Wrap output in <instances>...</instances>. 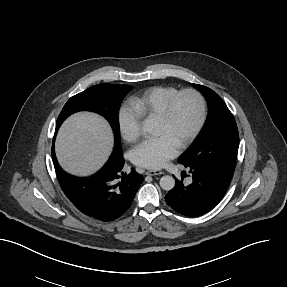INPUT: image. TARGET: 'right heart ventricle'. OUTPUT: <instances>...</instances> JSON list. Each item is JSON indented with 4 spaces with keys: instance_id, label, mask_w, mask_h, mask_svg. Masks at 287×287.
Here are the masks:
<instances>
[{
    "instance_id": "e07e8e85",
    "label": "right heart ventricle",
    "mask_w": 287,
    "mask_h": 287,
    "mask_svg": "<svg viewBox=\"0 0 287 287\" xmlns=\"http://www.w3.org/2000/svg\"><path fill=\"white\" fill-rule=\"evenodd\" d=\"M176 92L178 89L172 86L150 87L130 100V108L141 121L157 118L167 100Z\"/></svg>"
}]
</instances>
